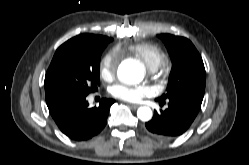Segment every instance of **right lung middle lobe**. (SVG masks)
<instances>
[{
  "mask_svg": "<svg viewBox=\"0 0 249 165\" xmlns=\"http://www.w3.org/2000/svg\"><path fill=\"white\" fill-rule=\"evenodd\" d=\"M107 43L76 36L55 52L45 76V92L88 95L100 84V57Z\"/></svg>",
  "mask_w": 249,
  "mask_h": 165,
  "instance_id": "1",
  "label": "right lung middle lobe"
}]
</instances>
